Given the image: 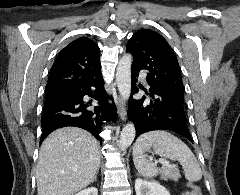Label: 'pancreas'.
Returning a JSON list of instances; mask_svg holds the SVG:
<instances>
[{
  "label": "pancreas",
  "instance_id": "pancreas-1",
  "mask_svg": "<svg viewBox=\"0 0 240 195\" xmlns=\"http://www.w3.org/2000/svg\"><path fill=\"white\" fill-rule=\"evenodd\" d=\"M179 177H181L180 169L178 167H161V179H171V181H178Z\"/></svg>",
  "mask_w": 240,
  "mask_h": 195
}]
</instances>
